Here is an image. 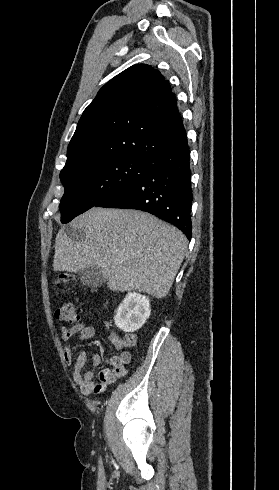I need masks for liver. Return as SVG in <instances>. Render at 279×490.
I'll return each mask as SVG.
<instances>
[{"mask_svg":"<svg viewBox=\"0 0 279 490\" xmlns=\"http://www.w3.org/2000/svg\"><path fill=\"white\" fill-rule=\"evenodd\" d=\"M84 230V242L63 228L55 240V272H79L99 266L110 290L144 292L165 298L184 260V234L139 210L91 208L71 222Z\"/></svg>","mask_w":279,"mask_h":490,"instance_id":"1","label":"liver"}]
</instances>
